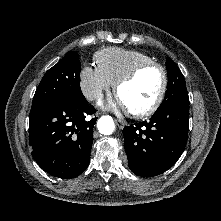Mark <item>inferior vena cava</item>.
I'll return each instance as SVG.
<instances>
[{
	"label": "inferior vena cava",
	"instance_id": "inferior-vena-cava-1",
	"mask_svg": "<svg viewBox=\"0 0 221 221\" xmlns=\"http://www.w3.org/2000/svg\"><path fill=\"white\" fill-rule=\"evenodd\" d=\"M100 95V92L96 89H92L86 94L87 99L94 100Z\"/></svg>",
	"mask_w": 221,
	"mask_h": 221
}]
</instances>
